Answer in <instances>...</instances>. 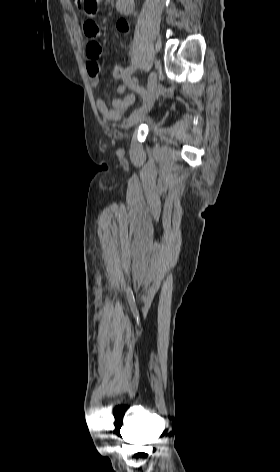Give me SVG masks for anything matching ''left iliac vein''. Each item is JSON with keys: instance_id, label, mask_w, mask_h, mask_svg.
I'll list each match as a JSON object with an SVG mask.
<instances>
[{"instance_id": "left-iliac-vein-1", "label": "left iliac vein", "mask_w": 280, "mask_h": 472, "mask_svg": "<svg viewBox=\"0 0 280 472\" xmlns=\"http://www.w3.org/2000/svg\"><path fill=\"white\" fill-rule=\"evenodd\" d=\"M157 96V73L151 72L148 77L147 95L144 103L136 109L129 117L128 126H133L141 122L146 114L151 110Z\"/></svg>"}]
</instances>
